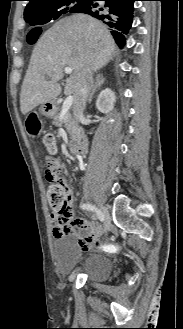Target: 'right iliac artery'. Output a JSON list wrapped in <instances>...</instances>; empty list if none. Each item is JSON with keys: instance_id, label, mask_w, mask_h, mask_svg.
<instances>
[{"instance_id": "82829eb1", "label": "right iliac artery", "mask_w": 183, "mask_h": 329, "mask_svg": "<svg viewBox=\"0 0 183 329\" xmlns=\"http://www.w3.org/2000/svg\"><path fill=\"white\" fill-rule=\"evenodd\" d=\"M81 208H82V209H87V210H90V211L95 212V213H96V216L98 217V219H99L100 221H102V222L104 221V216H103V214L101 213L100 210L96 209L94 206H92V205H90V204H83V205H81Z\"/></svg>"}]
</instances>
